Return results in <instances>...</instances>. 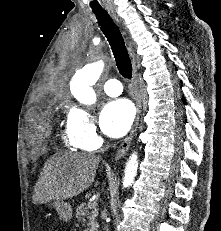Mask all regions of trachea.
<instances>
[{"label": "trachea", "mask_w": 221, "mask_h": 231, "mask_svg": "<svg viewBox=\"0 0 221 231\" xmlns=\"http://www.w3.org/2000/svg\"><path fill=\"white\" fill-rule=\"evenodd\" d=\"M93 13L111 46L119 73L124 78L131 79L132 64L118 26L113 23L112 18L105 10H93Z\"/></svg>", "instance_id": "1"}]
</instances>
